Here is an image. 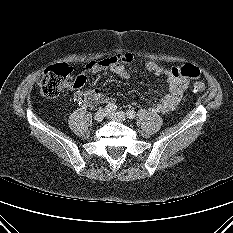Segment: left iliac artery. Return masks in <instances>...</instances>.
I'll use <instances>...</instances> for the list:
<instances>
[{
    "label": "left iliac artery",
    "mask_w": 233,
    "mask_h": 233,
    "mask_svg": "<svg viewBox=\"0 0 233 233\" xmlns=\"http://www.w3.org/2000/svg\"><path fill=\"white\" fill-rule=\"evenodd\" d=\"M127 117L129 119H134L136 117V112L134 110H128L127 111Z\"/></svg>",
    "instance_id": "1"
}]
</instances>
